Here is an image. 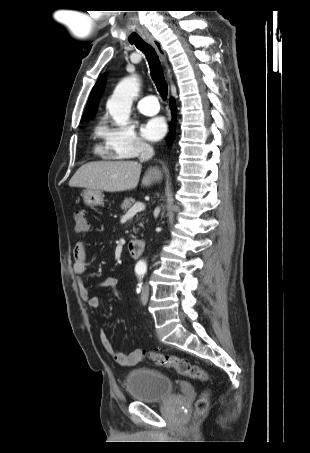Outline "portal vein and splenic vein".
<instances>
[{
	"label": "portal vein and splenic vein",
	"instance_id": "obj_1",
	"mask_svg": "<svg viewBox=\"0 0 310 453\" xmlns=\"http://www.w3.org/2000/svg\"><path fill=\"white\" fill-rule=\"evenodd\" d=\"M145 209V205L141 202L135 203L126 213V215H135L138 212H141Z\"/></svg>",
	"mask_w": 310,
	"mask_h": 453
}]
</instances>
